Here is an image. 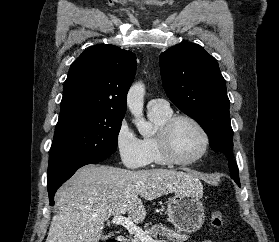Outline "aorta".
<instances>
[{"instance_id": "obj_1", "label": "aorta", "mask_w": 279, "mask_h": 242, "mask_svg": "<svg viewBox=\"0 0 279 242\" xmlns=\"http://www.w3.org/2000/svg\"><path fill=\"white\" fill-rule=\"evenodd\" d=\"M144 93V85L141 82L133 84L127 95V107L134 116L133 123L137 130L141 135L146 136L151 133L152 125L143 117Z\"/></svg>"}]
</instances>
